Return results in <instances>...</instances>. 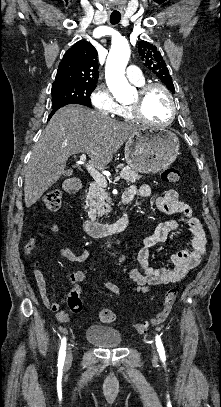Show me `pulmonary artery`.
I'll return each mask as SVG.
<instances>
[{
    "label": "pulmonary artery",
    "mask_w": 221,
    "mask_h": 407,
    "mask_svg": "<svg viewBox=\"0 0 221 407\" xmlns=\"http://www.w3.org/2000/svg\"><path fill=\"white\" fill-rule=\"evenodd\" d=\"M127 77L134 84L140 85L144 82V77L140 69L135 65H130L127 68Z\"/></svg>",
    "instance_id": "1"
}]
</instances>
